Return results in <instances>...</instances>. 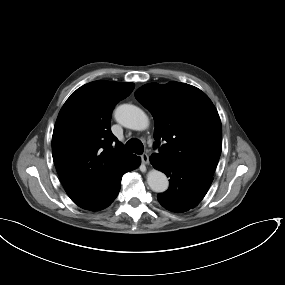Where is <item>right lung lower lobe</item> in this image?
Here are the masks:
<instances>
[{
  "label": "right lung lower lobe",
  "instance_id": "obj_1",
  "mask_svg": "<svg viewBox=\"0 0 285 285\" xmlns=\"http://www.w3.org/2000/svg\"><path fill=\"white\" fill-rule=\"evenodd\" d=\"M140 157L135 156L130 164L104 189L101 195L94 201L82 206V208L90 211H98L108 207L117 197L120 187L122 176L140 165Z\"/></svg>",
  "mask_w": 285,
  "mask_h": 285
}]
</instances>
